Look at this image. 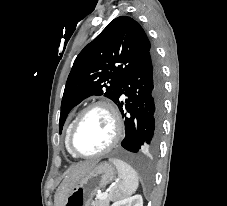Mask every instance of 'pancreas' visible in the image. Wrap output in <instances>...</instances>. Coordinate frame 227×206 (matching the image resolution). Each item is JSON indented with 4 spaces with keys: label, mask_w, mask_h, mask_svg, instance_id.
Wrapping results in <instances>:
<instances>
[{
    "label": "pancreas",
    "mask_w": 227,
    "mask_h": 206,
    "mask_svg": "<svg viewBox=\"0 0 227 206\" xmlns=\"http://www.w3.org/2000/svg\"><path fill=\"white\" fill-rule=\"evenodd\" d=\"M109 201V196H107L105 199H100L97 195L95 201L92 202V206H109Z\"/></svg>",
    "instance_id": "1"
}]
</instances>
